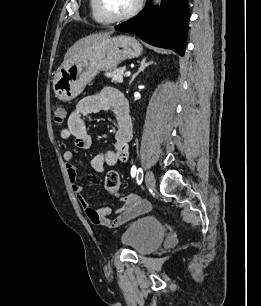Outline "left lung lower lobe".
<instances>
[{
  "label": "left lung lower lobe",
  "mask_w": 261,
  "mask_h": 306,
  "mask_svg": "<svg viewBox=\"0 0 261 306\" xmlns=\"http://www.w3.org/2000/svg\"><path fill=\"white\" fill-rule=\"evenodd\" d=\"M187 2L163 0L157 10L148 3L140 14L115 26V29L135 34L151 45L172 49L183 56L190 20Z\"/></svg>",
  "instance_id": "0a47b994"
}]
</instances>
